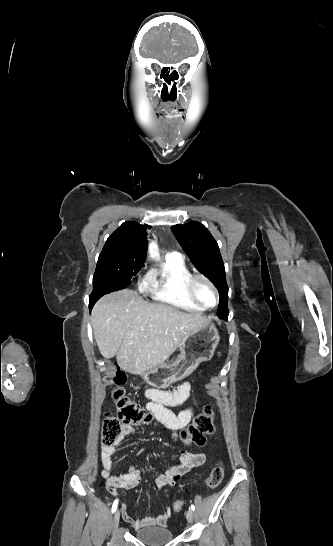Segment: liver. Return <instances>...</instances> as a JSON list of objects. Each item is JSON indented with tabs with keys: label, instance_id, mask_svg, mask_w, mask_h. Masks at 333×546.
I'll return each mask as SVG.
<instances>
[{
	"label": "liver",
	"instance_id": "1",
	"mask_svg": "<svg viewBox=\"0 0 333 546\" xmlns=\"http://www.w3.org/2000/svg\"><path fill=\"white\" fill-rule=\"evenodd\" d=\"M91 323L101 354L116 356L124 372L142 376L164 364L207 319L199 313L148 303L138 292L125 289L99 299L92 309Z\"/></svg>",
	"mask_w": 333,
	"mask_h": 546
}]
</instances>
